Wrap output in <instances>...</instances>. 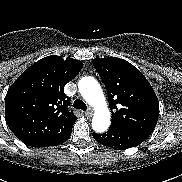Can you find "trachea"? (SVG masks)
I'll use <instances>...</instances> for the list:
<instances>
[{
	"mask_svg": "<svg viewBox=\"0 0 182 182\" xmlns=\"http://www.w3.org/2000/svg\"><path fill=\"white\" fill-rule=\"evenodd\" d=\"M74 108L81 109L83 111L87 110L86 104L81 99H76L73 104Z\"/></svg>",
	"mask_w": 182,
	"mask_h": 182,
	"instance_id": "obj_1",
	"label": "trachea"
}]
</instances>
